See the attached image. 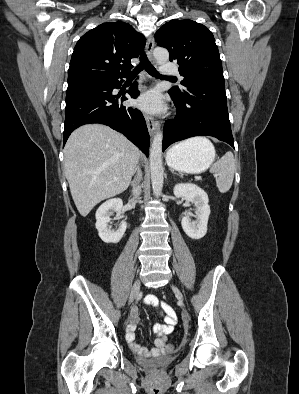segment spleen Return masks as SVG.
I'll list each match as a JSON object with an SVG mask.
<instances>
[{
    "label": "spleen",
    "mask_w": 299,
    "mask_h": 394,
    "mask_svg": "<svg viewBox=\"0 0 299 394\" xmlns=\"http://www.w3.org/2000/svg\"><path fill=\"white\" fill-rule=\"evenodd\" d=\"M199 142L206 145H212V143L203 137L194 138L180 143ZM210 172L216 173L218 178L216 179V185L220 193H226L232 186L234 172H235V158L232 152L228 151L224 156L217 160L211 167Z\"/></svg>",
    "instance_id": "3e777b00"
}]
</instances>
